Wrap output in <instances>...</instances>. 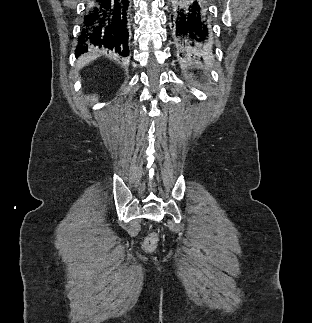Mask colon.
Masks as SVG:
<instances>
[{
  "instance_id": "colon-1",
  "label": "colon",
  "mask_w": 312,
  "mask_h": 323,
  "mask_svg": "<svg viewBox=\"0 0 312 323\" xmlns=\"http://www.w3.org/2000/svg\"><path fill=\"white\" fill-rule=\"evenodd\" d=\"M158 244V238L156 236H149L145 239L144 247L148 250H155Z\"/></svg>"
}]
</instances>
